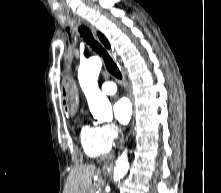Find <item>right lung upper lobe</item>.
Here are the masks:
<instances>
[{"label":"right lung upper lobe","instance_id":"obj_1","mask_svg":"<svg viewBox=\"0 0 221 193\" xmlns=\"http://www.w3.org/2000/svg\"><path fill=\"white\" fill-rule=\"evenodd\" d=\"M98 35H99V38L101 39V41L105 44V46H106L107 48H109L110 46H109V43H108V41L106 40V38H105L101 33H98Z\"/></svg>","mask_w":221,"mask_h":193}]
</instances>
